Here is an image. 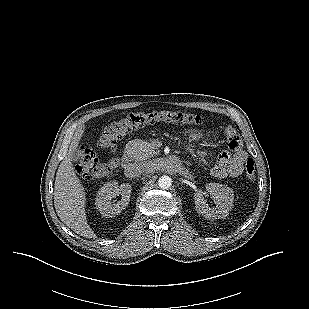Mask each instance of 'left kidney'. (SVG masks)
<instances>
[{
	"label": "left kidney",
	"mask_w": 309,
	"mask_h": 309,
	"mask_svg": "<svg viewBox=\"0 0 309 309\" xmlns=\"http://www.w3.org/2000/svg\"><path fill=\"white\" fill-rule=\"evenodd\" d=\"M206 190L214 197L215 208L209 207L203 197V193L198 191L195 193V207L199 214L208 219H222L228 216L233 206L234 194L232 189L218 183H208Z\"/></svg>",
	"instance_id": "obj_1"
}]
</instances>
